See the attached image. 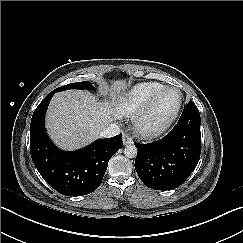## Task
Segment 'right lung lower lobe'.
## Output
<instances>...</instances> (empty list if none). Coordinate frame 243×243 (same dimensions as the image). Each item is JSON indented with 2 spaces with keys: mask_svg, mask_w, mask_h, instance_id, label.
<instances>
[{
  "mask_svg": "<svg viewBox=\"0 0 243 243\" xmlns=\"http://www.w3.org/2000/svg\"><path fill=\"white\" fill-rule=\"evenodd\" d=\"M50 92L33 113L30 125V152L43 179L65 196H82L95 191L101 184L110 158L123 147L122 134L100 139L87 147L65 152L48 138L44 119Z\"/></svg>",
  "mask_w": 243,
  "mask_h": 243,
  "instance_id": "obj_1",
  "label": "right lung lower lobe"
}]
</instances>
